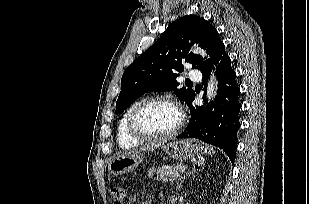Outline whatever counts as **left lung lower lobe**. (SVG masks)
Instances as JSON below:
<instances>
[{
	"instance_id": "1",
	"label": "left lung lower lobe",
	"mask_w": 309,
	"mask_h": 204,
	"mask_svg": "<svg viewBox=\"0 0 309 204\" xmlns=\"http://www.w3.org/2000/svg\"><path fill=\"white\" fill-rule=\"evenodd\" d=\"M218 79L217 96L214 103L207 107L193 105L195 93L190 100V122L178 138H198L205 143L217 146L234 161L237 148V131L240 127L239 102L240 89L236 84V74L231 67V59L222 46L214 61ZM212 67L202 71V83L205 84Z\"/></svg>"
}]
</instances>
